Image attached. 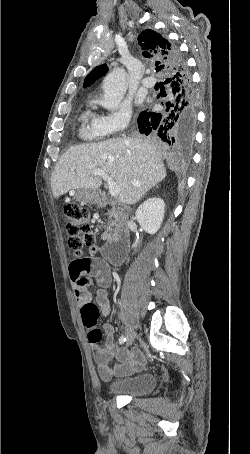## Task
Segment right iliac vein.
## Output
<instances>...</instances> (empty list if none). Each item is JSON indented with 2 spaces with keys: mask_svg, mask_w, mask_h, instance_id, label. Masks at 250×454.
Listing matches in <instances>:
<instances>
[{
  "mask_svg": "<svg viewBox=\"0 0 250 454\" xmlns=\"http://www.w3.org/2000/svg\"><path fill=\"white\" fill-rule=\"evenodd\" d=\"M126 335H127L126 345L131 346L136 337V334H135L134 330L128 325L126 326Z\"/></svg>",
  "mask_w": 250,
  "mask_h": 454,
  "instance_id": "63e3f726",
  "label": "right iliac vein"
}]
</instances>
